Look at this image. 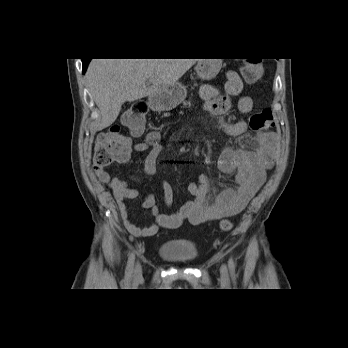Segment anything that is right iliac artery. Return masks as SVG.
Listing matches in <instances>:
<instances>
[{
    "mask_svg": "<svg viewBox=\"0 0 348 348\" xmlns=\"http://www.w3.org/2000/svg\"><path fill=\"white\" fill-rule=\"evenodd\" d=\"M134 260H135V256H134V254H131L129 257V260H128L127 270H126V275H125V279L127 282H130V279L132 276Z\"/></svg>",
    "mask_w": 348,
    "mask_h": 348,
    "instance_id": "right-iliac-artery-1",
    "label": "right iliac artery"
}]
</instances>
